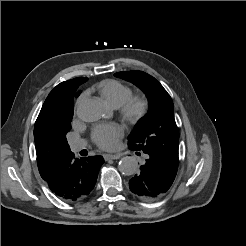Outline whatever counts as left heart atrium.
<instances>
[{
	"label": "left heart atrium",
	"mask_w": 246,
	"mask_h": 246,
	"mask_svg": "<svg viewBox=\"0 0 246 246\" xmlns=\"http://www.w3.org/2000/svg\"><path fill=\"white\" fill-rule=\"evenodd\" d=\"M123 134V128L119 124H102L92 130V139L99 148L113 150L117 147Z\"/></svg>",
	"instance_id": "39dd6f15"
}]
</instances>
